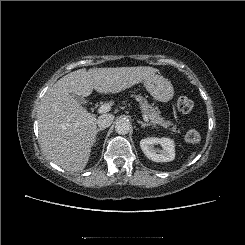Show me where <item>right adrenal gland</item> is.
Masks as SVG:
<instances>
[{
  "label": "right adrenal gland",
  "mask_w": 245,
  "mask_h": 245,
  "mask_svg": "<svg viewBox=\"0 0 245 245\" xmlns=\"http://www.w3.org/2000/svg\"><path fill=\"white\" fill-rule=\"evenodd\" d=\"M102 130H104V128H97L96 133H95L94 143L97 141V134H98V132L99 131H102Z\"/></svg>",
  "instance_id": "obj_1"
}]
</instances>
